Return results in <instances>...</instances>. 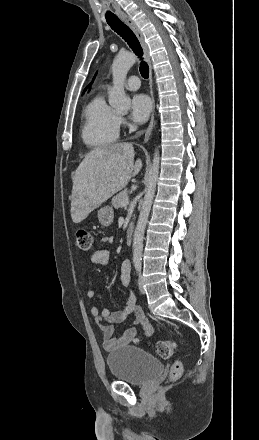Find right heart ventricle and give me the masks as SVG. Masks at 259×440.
I'll list each match as a JSON object with an SVG mask.
<instances>
[{"label":"right heart ventricle","instance_id":"obj_1","mask_svg":"<svg viewBox=\"0 0 259 440\" xmlns=\"http://www.w3.org/2000/svg\"><path fill=\"white\" fill-rule=\"evenodd\" d=\"M118 115L104 100L96 95L83 112L81 137L91 149H103L114 144L119 137Z\"/></svg>","mask_w":259,"mask_h":440}]
</instances>
